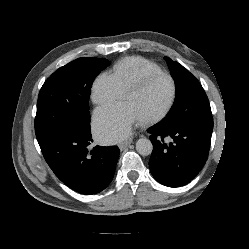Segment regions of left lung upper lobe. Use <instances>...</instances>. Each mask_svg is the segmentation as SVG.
Instances as JSON below:
<instances>
[{"label":"left lung upper lobe","mask_w":249,"mask_h":249,"mask_svg":"<svg viewBox=\"0 0 249 249\" xmlns=\"http://www.w3.org/2000/svg\"><path fill=\"white\" fill-rule=\"evenodd\" d=\"M165 60L175 81L176 99L160 123L167 127H185L213 121L208 98L199 81L181 64L168 57Z\"/></svg>","instance_id":"1"}]
</instances>
